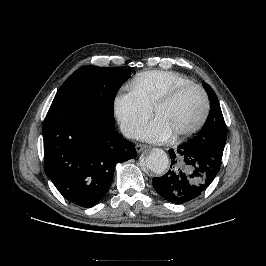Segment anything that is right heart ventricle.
I'll use <instances>...</instances> for the list:
<instances>
[{"instance_id": "right-heart-ventricle-1", "label": "right heart ventricle", "mask_w": 266, "mask_h": 266, "mask_svg": "<svg viewBox=\"0 0 266 266\" xmlns=\"http://www.w3.org/2000/svg\"><path fill=\"white\" fill-rule=\"evenodd\" d=\"M193 83L187 77L172 71L150 70L138 74L130 83L129 89L152 109L155 103L171 89Z\"/></svg>"}]
</instances>
